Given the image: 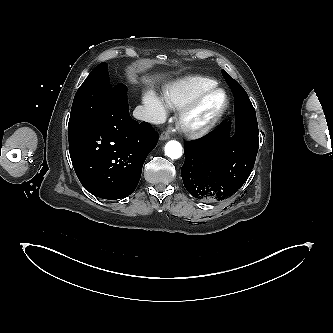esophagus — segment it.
Instances as JSON below:
<instances>
[{
	"label": "esophagus",
	"mask_w": 333,
	"mask_h": 333,
	"mask_svg": "<svg viewBox=\"0 0 333 333\" xmlns=\"http://www.w3.org/2000/svg\"><path fill=\"white\" fill-rule=\"evenodd\" d=\"M170 138V135L167 133V132H163V133H161V135H160V137H159V139L160 140H168Z\"/></svg>",
	"instance_id": "esophagus-1"
}]
</instances>
